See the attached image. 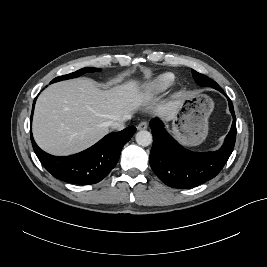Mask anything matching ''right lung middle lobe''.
I'll use <instances>...</instances> for the list:
<instances>
[{
    "mask_svg": "<svg viewBox=\"0 0 267 267\" xmlns=\"http://www.w3.org/2000/svg\"><path fill=\"white\" fill-rule=\"evenodd\" d=\"M96 71H100L99 68H82L76 72L67 74V75H63V76H59L55 79H53L50 83H55L58 81H62V80H66V79H71V78H76L84 73H88V72H96Z\"/></svg>",
    "mask_w": 267,
    "mask_h": 267,
    "instance_id": "right-lung-middle-lobe-1",
    "label": "right lung middle lobe"
}]
</instances>
